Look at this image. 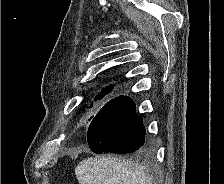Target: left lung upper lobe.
Instances as JSON below:
<instances>
[{
    "mask_svg": "<svg viewBox=\"0 0 224 184\" xmlns=\"http://www.w3.org/2000/svg\"><path fill=\"white\" fill-rule=\"evenodd\" d=\"M111 91H112V86H108V87H106V88L100 93V95L97 96L96 100H99V99L103 98V96H104L105 94H108V93H110Z\"/></svg>",
    "mask_w": 224,
    "mask_h": 184,
    "instance_id": "obj_1",
    "label": "left lung upper lobe"
}]
</instances>
